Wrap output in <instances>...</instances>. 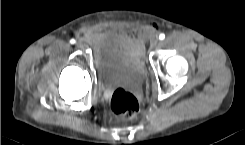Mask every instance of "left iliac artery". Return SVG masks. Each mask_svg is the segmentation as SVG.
<instances>
[{
    "instance_id": "left-iliac-artery-1",
    "label": "left iliac artery",
    "mask_w": 245,
    "mask_h": 145,
    "mask_svg": "<svg viewBox=\"0 0 245 145\" xmlns=\"http://www.w3.org/2000/svg\"><path fill=\"white\" fill-rule=\"evenodd\" d=\"M165 38V35L163 34V33H161L160 35H159V39L160 40H163Z\"/></svg>"
}]
</instances>
